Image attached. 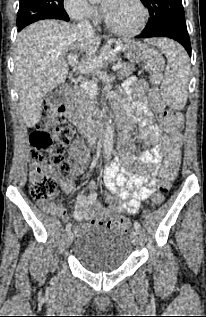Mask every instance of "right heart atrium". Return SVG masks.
I'll return each mask as SVG.
<instances>
[{
    "instance_id": "d8ad5b80",
    "label": "right heart atrium",
    "mask_w": 206,
    "mask_h": 317,
    "mask_svg": "<svg viewBox=\"0 0 206 317\" xmlns=\"http://www.w3.org/2000/svg\"><path fill=\"white\" fill-rule=\"evenodd\" d=\"M64 8L74 20L95 21L97 9L87 0H64Z\"/></svg>"
}]
</instances>
